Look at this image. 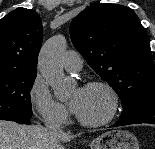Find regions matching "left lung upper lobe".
Listing matches in <instances>:
<instances>
[{"label":"left lung upper lobe","mask_w":155,"mask_h":149,"mask_svg":"<svg viewBox=\"0 0 155 149\" xmlns=\"http://www.w3.org/2000/svg\"><path fill=\"white\" fill-rule=\"evenodd\" d=\"M71 41L88 65L118 93L124 111L155 94L150 41L135 12L117 4H94L70 25Z\"/></svg>","instance_id":"5c2ea615"}]
</instances>
